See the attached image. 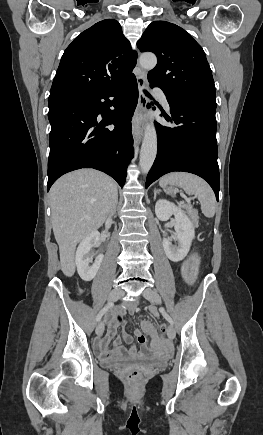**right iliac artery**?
<instances>
[{
  "label": "right iliac artery",
  "mask_w": 263,
  "mask_h": 435,
  "mask_svg": "<svg viewBox=\"0 0 263 435\" xmlns=\"http://www.w3.org/2000/svg\"><path fill=\"white\" fill-rule=\"evenodd\" d=\"M112 303H108L97 315V322H99L102 316L112 307Z\"/></svg>",
  "instance_id": "1"
}]
</instances>
